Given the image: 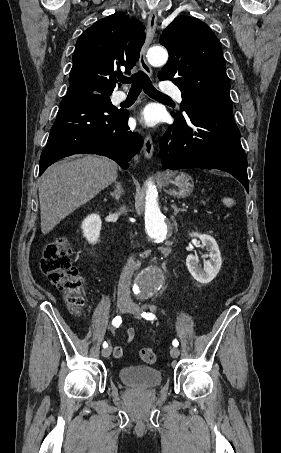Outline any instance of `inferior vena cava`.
Wrapping results in <instances>:
<instances>
[{
    "label": "inferior vena cava",
    "mask_w": 281,
    "mask_h": 453,
    "mask_svg": "<svg viewBox=\"0 0 281 453\" xmlns=\"http://www.w3.org/2000/svg\"><path fill=\"white\" fill-rule=\"evenodd\" d=\"M124 208V206H122ZM134 257H129L118 283V301H131L130 285L134 273Z\"/></svg>",
    "instance_id": "602c4592"
}]
</instances>
